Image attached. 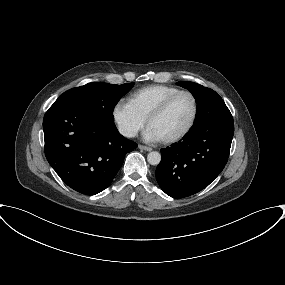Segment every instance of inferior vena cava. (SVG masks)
Returning <instances> with one entry per match:
<instances>
[{
    "label": "inferior vena cava",
    "instance_id": "obj_1",
    "mask_svg": "<svg viewBox=\"0 0 285 285\" xmlns=\"http://www.w3.org/2000/svg\"><path fill=\"white\" fill-rule=\"evenodd\" d=\"M119 131L125 137H134L136 135L135 130L130 128H120Z\"/></svg>",
    "mask_w": 285,
    "mask_h": 285
}]
</instances>
